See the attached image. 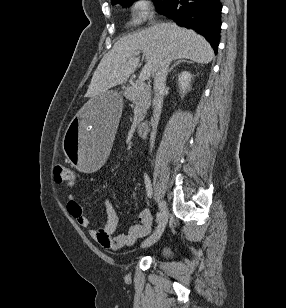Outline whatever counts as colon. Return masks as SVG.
<instances>
[{"label": "colon", "mask_w": 286, "mask_h": 308, "mask_svg": "<svg viewBox=\"0 0 286 308\" xmlns=\"http://www.w3.org/2000/svg\"><path fill=\"white\" fill-rule=\"evenodd\" d=\"M53 177L56 184L65 185L68 187L75 185V173L69 166H56L53 170Z\"/></svg>", "instance_id": "colon-1"}]
</instances>
